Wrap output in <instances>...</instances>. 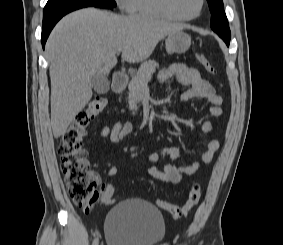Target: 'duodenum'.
Listing matches in <instances>:
<instances>
[{
  "mask_svg": "<svg viewBox=\"0 0 283 245\" xmlns=\"http://www.w3.org/2000/svg\"><path fill=\"white\" fill-rule=\"evenodd\" d=\"M128 82V76L124 73L117 72L113 76V81H112V89L114 92L119 93L122 92Z\"/></svg>",
  "mask_w": 283,
  "mask_h": 245,
  "instance_id": "1",
  "label": "duodenum"
}]
</instances>
